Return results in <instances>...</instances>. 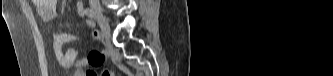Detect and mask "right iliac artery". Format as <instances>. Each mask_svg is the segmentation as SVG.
Listing matches in <instances>:
<instances>
[{"mask_svg":"<svg viewBox=\"0 0 333 76\" xmlns=\"http://www.w3.org/2000/svg\"><path fill=\"white\" fill-rule=\"evenodd\" d=\"M85 14L89 17L90 21H92L93 24L95 25V23H94L95 15H94L93 10L90 9V8H87V9L85 10Z\"/></svg>","mask_w":333,"mask_h":76,"instance_id":"obj_1","label":"right iliac artery"}]
</instances>
